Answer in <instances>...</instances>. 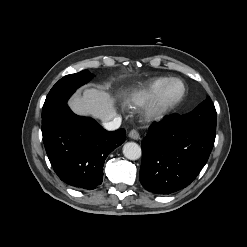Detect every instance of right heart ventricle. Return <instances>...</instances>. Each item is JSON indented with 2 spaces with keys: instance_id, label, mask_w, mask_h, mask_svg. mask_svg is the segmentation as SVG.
Instances as JSON below:
<instances>
[{
  "instance_id": "e07e8e85",
  "label": "right heart ventricle",
  "mask_w": 247,
  "mask_h": 247,
  "mask_svg": "<svg viewBox=\"0 0 247 247\" xmlns=\"http://www.w3.org/2000/svg\"><path fill=\"white\" fill-rule=\"evenodd\" d=\"M168 80L166 77H159L152 79L139 88L130 93L127 103L130 107H139L146 104L161 87V85Z\"/></svg>"
}]
</instances>
